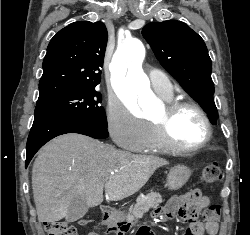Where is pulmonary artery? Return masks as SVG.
<instances>
[{
    "instance_id": "1",
    "label": "pulmonary artery",
    "mask_w": 250,
    "mask_h": 235,
    "mask_svg": "<svg viewBox=\"0 0 250 235\" xmlns=\"http://www.w3.org/2000/svg\"><path fill=\"white\" fill-rule=\"evenodd\" d=\"M149 76L152 88L158 95L161 97L172 96V84L165 74L159 71H152Z\"/></svg>"
}]
</instances>
